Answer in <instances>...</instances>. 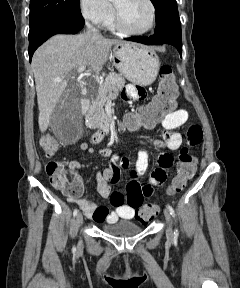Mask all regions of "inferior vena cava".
I'll list each match as a JSON object with an SVG mask.
<instances>
[{"mask_svg":"<svg viewBox=\"0 0 240 288\" xmlns=\"http://www.w3.org/2000/svg\"><path fill=\"white\" fill-rule=\"evenodd\" d=\"M86 26H87L88 32H90L93 37H101L99 30L93 27L89 22H86Z\"/></svg>","mask_w":240,"mask_h":288,"instance_id":"602c4592","label":"inferior vena cava"}]
</instances>
